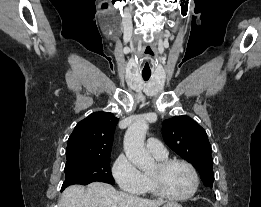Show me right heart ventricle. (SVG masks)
Segmentation results:
<instances>
[{"label":"right heart ventricle","instance_id":"1","mask_svg":"<svg viewBox=\"0 0 261 207\" xmlns=\"http://www.w3.org/2000/svg\"><path fill=\"white\" fill-rule=\"evenodd\" d=\"M167 157V156H166ZM166 157H155L158 161L160 160H163V159H166ZM146 177V188H145V192H148V193H155L153 188H152V185L150 183V180H149V176L145 175Z\"/></svg>","mask_w":261,"mask_h":207}]
</instances>
